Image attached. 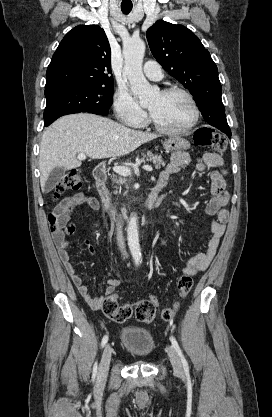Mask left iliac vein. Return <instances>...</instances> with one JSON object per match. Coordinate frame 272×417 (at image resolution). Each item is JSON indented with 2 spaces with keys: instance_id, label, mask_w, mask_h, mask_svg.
<instances>
[{
  "instance_id": "obj_1",
  "label": "left iliac vein",
  "mask_w": 272,
  "mask_h": 417,
  "mask_svg": "<svg viewBox=\"0 0 272 417\" xmlns=\"http://www.w3.org/2000/svg\"><path fill=\"white\" fill-rule=\"evenodd\" d=\"M167 353L170 358L174 371L177 373H181L183 371V366H182L181 359L178 353L176 352V350L172 346H168Z\"/></svg>"
}]
</instances>
